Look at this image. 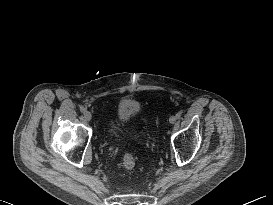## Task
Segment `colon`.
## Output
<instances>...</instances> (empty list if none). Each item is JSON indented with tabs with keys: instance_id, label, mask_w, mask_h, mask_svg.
Here are the masks:
<instances>
[{
	"instance_id": "colon-1",
	"label": "colon",
	"mask_w": 273,
	"mask_h": 205,
	"mask_svg": "<svg viewBox=\"0 0 273 205\" xmlns=\"http://www.w3.org/2000/svg\"><path fill=\"white\" fill-rule=\"evenodd\" d=\"M125 170H132L135 166V159L131 153H126L122 161Z\"/></svg>"
}]
</instances>
